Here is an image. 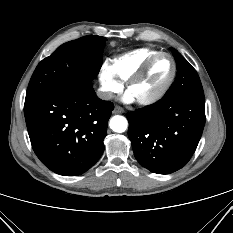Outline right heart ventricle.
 <instances>
[{
	"label": "right heart ventricle",
	"instance_id": "obj_1",
	"mask_svg": "<svg viewBox=\"0 0 233 233\" xmlns=\"http://www.w3.org/2000/svg\"><path fill=\"white\" fill-rule=\"evenodd\" d=\"M159 51L151 48H140L114 58L109 68L121 83H125L152 56Z\"/></svg>",
	"mask_w": 233,
	"mask_h": 233
}]
</instances>
